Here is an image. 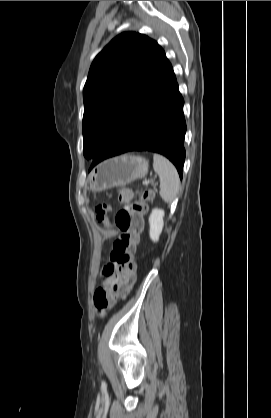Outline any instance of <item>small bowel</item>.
<instances>
[{
  "instance_id": "obj_1",
  "label": "small bowel",
  "mask_w": 271,
  "mask_h": 418,
  "mask_svg": "<svg viewBox=\"0 0 271 418\" xmlns=\"http://www.w3.org/2000/svg\"><path fill=\"white\" fill-rule=\"evenodd\" d=\"M111 283V278L109 277L106 281H105V286H109Z\"/></svg>"
}]
</instances>
